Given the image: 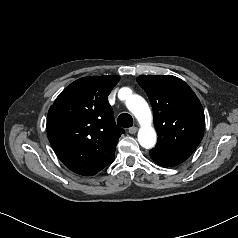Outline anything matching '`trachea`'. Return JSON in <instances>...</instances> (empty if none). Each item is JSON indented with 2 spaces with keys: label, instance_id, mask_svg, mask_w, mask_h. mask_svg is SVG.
I'll return each instance as SVG.
<instances>
[{
  "label": "trachea",
  "instance_id": "trachea-1",
  "mask_svg": "<svg viewBox=\"0 0 238 238\" xmlns=\"http://www.w3.org/2000/svg\"><path fill=\"white\" fill-rule=\"evenodd\" d=\"M117 124L123 128H128L133 125V119L131 115L123 113L118 117Z\"/></svg>",
  "mask_w": 238,
  "mask_h": 238
}]
</instances>
